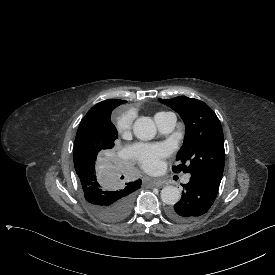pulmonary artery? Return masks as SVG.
Returning a JSON list of instances; mask_svg holds the SVG:
<instances>
[{
	"label": "pulmonary artery",
	"mask_w": 275,
	"mask_h": 275,
	"mask_svg": "<svg viewBox=\"0 0 275 275\" xmlns=\"http://www.w3.org/2000/svg\"><path fill=\"white\" fill-rule=\"evenodd\" d=\"M155 123L161 133H170L175 125H176V116L173 113H165V114H159L156 115L155 118ZM190 180V175H184L182 177V182L183 183H188Z\"/></svg>",
	"instance_id": "pulmonary-artery-1"
}]
</instances>
